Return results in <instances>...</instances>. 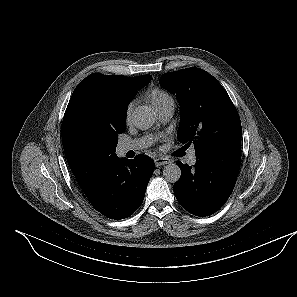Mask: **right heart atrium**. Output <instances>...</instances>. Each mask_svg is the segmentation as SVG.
<instances>
[{"mask_svg": "<svg viewBox=\"0 0 297 297\" xmlns=\"http://www.w3.org/2000/svg\"><path fill=\"white\" fill-rule=\"evenodd\" d=\"M132 109H133V103L131 102L128 105L127 110H126V118H127V120L130 119V117H131Z\"/></svg>", "mask_w": 297, "mask_h": 297, "instance_id": "obj_1", "label": "right heart atrium"}]
</instances>
